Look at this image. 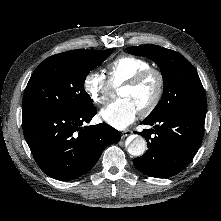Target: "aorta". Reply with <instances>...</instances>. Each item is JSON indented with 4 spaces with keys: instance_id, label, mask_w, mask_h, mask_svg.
I'll return each instance as SVG.
<instances>
[{
    "instance_id": "aorta-1",
    "label": "aorta",
    "mask_w": 221,
    "mask_h": 221,
    "mask_svg": "<svg viewBox=\"0 0 221 221\" xmlns=\"http://www.w3.org/2000/svg\"><path fill=\"white\" fill-rule=\"evenodd\" d=\"M146 149L147 143L142 136H136L127 147L128 153L133 156H142Z\"/></svg>"
}]
</instances>
